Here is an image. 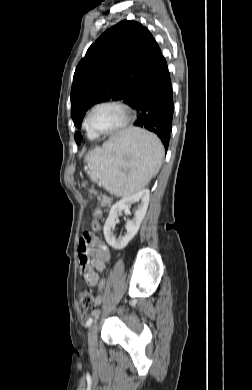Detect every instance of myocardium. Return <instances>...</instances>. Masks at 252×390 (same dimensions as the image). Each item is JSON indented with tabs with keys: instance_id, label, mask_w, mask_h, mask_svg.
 Masks as SVG:
<instances>
[{
	"instance_id": "myocardium-1",
	"label": "myocardium",
	"mask_w": 252,
	"mask_h": 390,
	"mask_svg": "<svg viewBox=\"0 0 252 390\" xmlns=\"http://www.w3.org/2000/svg\"><path fill=\"white\" fill-rule=\"evenodd\" d=\"M105 106L116 108L121 113V120L117 125H115L111 129L104 130V131L95 130L91 126V117L96 109H98L100 107H105ZM131 118H132V110L127 104L120 102V101H115V100L102 101V102L95 104L90 109V111L87 115V118H86V127L88 130H90L91 132H93L97 136H99V135H112L118 131L123 130L125 127H127Z\"/></svg>"
}]
</instances>
